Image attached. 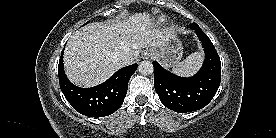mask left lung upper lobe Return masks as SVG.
Here are the masks:
<instances>
[{"mask_svg": "<svg viewBox=\"0 0 276 138\" xmlns=\"http://www.w3.org/2000/svg\"><path fill=\"white\" fill-rule=\"evenodd\" d=\"M196 25V23H192L191 28H194Z\"/></svg>", "mask_w": 276, "mask_h": 138, "instance_id": "obj_1", "label": "left lung upper lobe"}]
</instances>
